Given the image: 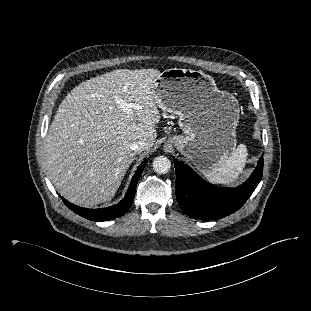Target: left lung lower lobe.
<instances>
[{
    "label": "left lung lower lobe",
    "mask_w": 311,
    "mask_h": 311,
    "mask_svg": "<svg viewBox=\"0 0 311 311\" xmlns=\"http://www.w3.org/2000/svg\"><path fill=\"white\" fill-rule=\"evenodd\" d=\"M176 198L188 216L202 220L226 217L240 209L259 184L263 157L242 185L236 188L217 187L200 178L188 165L175 163Z\"/></svg>",
    "instance_id": "left-lung-lower-lobe-1"
}]
</instances>
